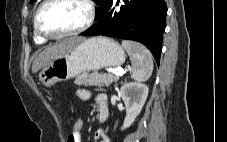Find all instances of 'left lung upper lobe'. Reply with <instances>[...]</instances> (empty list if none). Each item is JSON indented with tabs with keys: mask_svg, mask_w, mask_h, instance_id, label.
I'll return each mask as SVG.
<instances>
[{
	"mask_svg": "<svg viewBox=\"0 0 227 142\" xmlns=\"http://www.w3.org/2000/svg\"><path fill=\"white\" fill-rule=\"evenodd\" d=\"M34 0H31V2H33ZM96 3L99 4L100 9L98 11H96L95 17L98 18L100 16L101 11L106 7V5L108 4V2L110 0H94Z\"/></svg>",
	"mask_w": 227,
	"mask_h": 142,
	"instance_id": "obj_1",
	"label": "left lung upper lobe"
}]
</instances>
